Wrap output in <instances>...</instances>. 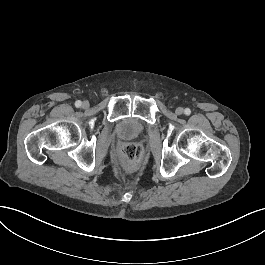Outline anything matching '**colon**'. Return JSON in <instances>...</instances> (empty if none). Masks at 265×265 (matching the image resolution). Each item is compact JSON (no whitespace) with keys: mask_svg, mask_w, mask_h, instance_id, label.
Segmentation results:
<instances>
[{"mask_svg":"<svg viewBox=\"0 0 265 265\" xmlns=\"http://www.w3.org/2000/svg\"><path fill=\"white\" fill-rule=\"evenodd\" d=\"M123 155L130 160H140L142 155V150L137 145H127L123 150Z\"/></svg>","mask_w":265,"mask_h":265,"instance_id":"5ec220e1","label":"colon"}]
</instances>
